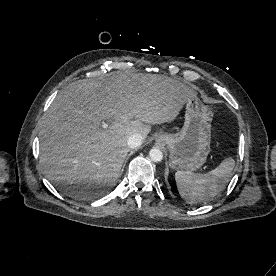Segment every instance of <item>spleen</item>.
<instances>
[{
    "label": "spleen",
    "instance_id": "obj_1",
    "mask_svg": "<svg viewBox=\"0 0 276 276\" xmlns=\"http://www.w3.org/2000/svg\"><path fill=\"white\" fill-rule=\"evenodd\" d=\"M234 166V159L229 157L206 174L177 171L175 180L180 196L190 202L205 201L216 196L226 187Z\"/></svg>",
    "mask_w": 276,
    "mask_h": 276
}]
</instances>
